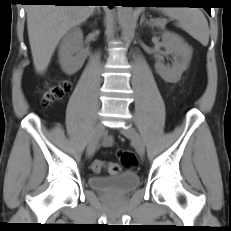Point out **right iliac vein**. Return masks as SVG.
I'll return each mask as SVG.
<instances>
[{
  "label": "right iliac vein",
  "instance_id": "63e3f726",
  "mask_svg": "<svg viewBox=\"0 0 231 231\" xmlns=\"http://www.w3.org/2000/svg\"><path fill=\"white\" fill-rule=\"evenodd\" d=\"M105 127L101 123H97L94 129V132L92 134V137L90 139V142L87 147V156L91 157L95 153V150L97 149L99 142L104 134Z\"/></svg>",
  "mask_w": 231,
  "mask_h": 231
}]
</instances>
